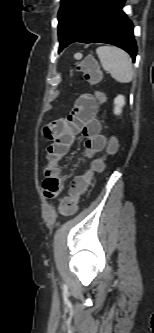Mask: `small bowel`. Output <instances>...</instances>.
Here are the masks:
<instances>
[{
  "mask_svg": "<svg viewBox=\"0 0 154 333\" xmlns=\"http://www.w3.org/2000/svg\"><path fill=\"white\" fill-rule=\"evenodd\" d=\"M98 105L90 94H82L67 118L58 119L44 128V135L51 141L46 150L43 192L47 198L57 197L64 185L65 175L62 171V160L68 153L78 134L86 139V156L94 157L101 152L107 138L97 119Z\"/></svg>",
  "mask_w": 154,
  "mask_h": 333,
  "instance_id": "1",
  "label": "small bowel"
}]
</instances>
